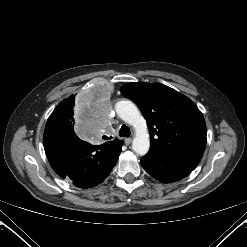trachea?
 Here are the masks:
<instances>
[{
    "label": "trachea",
    "mask_w": 247,
    "mask_h": 247,
    "mask_svg": "<svg viewBox=\"0 0 247 247\" xmlns=\"http://www.w3.org/2000/svg\"><path fill=\"white\" fill-rule=\"evenodd\" d=\"M130 134H131V132H130L129 127H127L126 125H122L121 128H120V130H119V135L121 137H124V136L125 137H129ZM111 138L112 137L103 136V139H105V140H108V139H111Z\"/></svg>",
    "instance_id": "3493384b"
}]
</instances>
